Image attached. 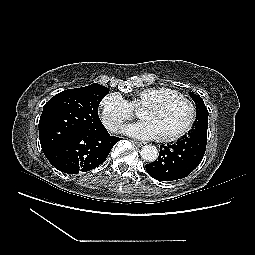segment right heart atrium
Instances as JSON below:
<instances>
[{
	"mask_svg": "<svg viewBox=\"0 0 255 255\" xmlns=\"http://www.w3.org/2000/svg\"><path fill=\"white\" fill-rule=\"evenodd\" d=\"M100 113L105 127L113 132L133 117L131 105L118 93H110L101 100Z\"/></svg>",
	"mask_w": 255,
	"mask_h": 255,
	"instance_id": "obj_1",
	"label": "right heart atrium"
}]
</instances>
